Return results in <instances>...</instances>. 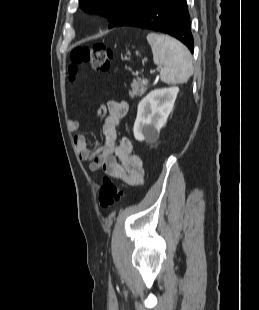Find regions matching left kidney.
<instances>
[{"mask_svg":"<svg viewBox=\"0 0 259 310\" xmlns=\"http://www.w3.org/2000/svg\"><path fill=\"white\" fill-rule=\"evenodd\" d=\"M178 92V87L155 89L140 101L133 128L137 141L158 137L173 109Z\"/></svg>","mask_w":259,"mask_h":310,"instance_id":"5707ae66","label":"left kidney"}]
</instances>
